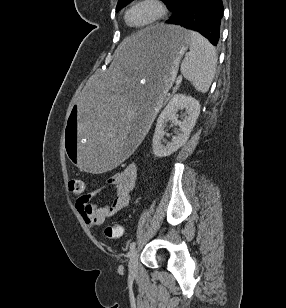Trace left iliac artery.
<instances>
[{
  "instance_id": "44dca946",
  "label": "left iliac artery",
  "mask_w": 286,
  "mask_h": 308,
  "mask_svg": "<svg viewBox=\"0 0 286 308\" xmlns=\"http://www.w3.org/2000/svg\"><path fill=\"white\" fill-rule=\"evenodd\" d=\"M135 245H136V242H132V243L130 244V250H133V249L135 248Z\"/></svg>"
}]
</instances>
